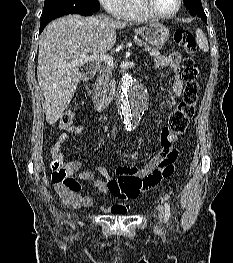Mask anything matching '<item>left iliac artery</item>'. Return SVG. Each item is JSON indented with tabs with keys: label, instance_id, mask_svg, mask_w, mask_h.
Segmentation results:
<instances>
[{
	"label": "left iliac artery",
	"instance_id": "obj_1",
	"mask_svg": "<svg viewBox=\"0 0 233 263\" xmlns=\"http://www.w3.org/2000/svg\"><path fill=\"white\" fill-rule=\"evenodd\" d=\"M164 210H165L164 220L165 222H167L168 219L170 218V205L167 202L164 203Z\"/></svg>",
	"mask_w": 233,
	"mask_h": 263
}]
</instances>
